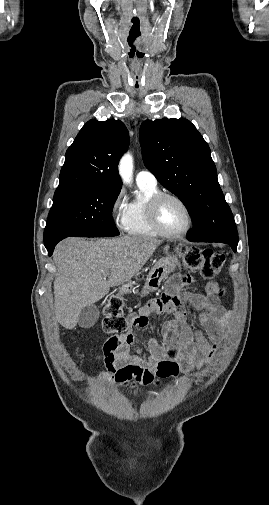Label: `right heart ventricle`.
I'll return each mask as SVG.
<instances>
[{"label":"right heart ventricle","mask_w":269,"mask_h":505,"mask_svg":"<svg viewBox=\"0 0 269 505\" xmlns=\"http://www.w3.org/2000/svg\"><path fill=\"white\" fill-rule=\"evenodd\" d=\"M138 187L140 196L127 204L124 230L131 236L156 237L159 234L149 222L147 203L151 197L159 193V190L157 186L147 184H138Z\"/></svg>","instance_id":"e07e8e85"}]
</instances>
